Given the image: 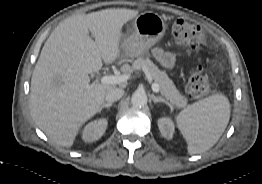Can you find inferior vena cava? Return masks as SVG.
<instances>
[{"label": "inferior vena cava", "instance_id": "obj_1", "mask_svg": "<svg viewBox=\"0 0 262 184\" xmlns=\"http://www.w3.org/2000/svg\"><path fill=\"white\" fill-rule=\"evenodd\" d=\"M124 95V90L120 88H112L109 90L106 95L105 99L107 102L112 103L118 101Z\"/></svg>", "mask_w": 262, "mask_h": 184}]
</instances>
